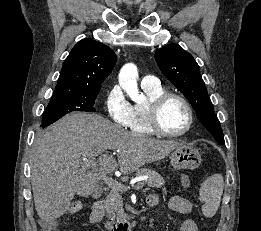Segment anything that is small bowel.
<instances>
[{
    "label": "small bowel",
    "instance_id": "obj_1",
    "mask_svg": "<svg viewBox=\"0 0 261 231\" xmlns=\"http://www.w3.org/2000/svg\"><path fill=\"white\" fill-rule=\"evenodd\" d=\"M181 184L184 188H188L190 186V180L187 175H182L180 177ZM160 202V197L156 194H151L146 198V203L149 206H156ZM168 207L180 214L190 215L192 212V205L190 201L181 197V196H173L169 200ZM179 231H199L196 222L188 217L185 219L183 224L181 225Z\"/></svg>",
    "mask_w": 261,
    "mask_h": 231
}]
</instances>
